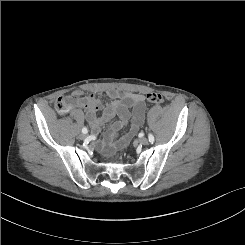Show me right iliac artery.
<instances>
[{"label":"right iliac artery","instance_id":"right-iliac-artery-1","mask_svg":"<svg viewBox=\"0 0 245 245\" xmlns=\"http://www.w3.org/2000/svg\"><path fill=\"white\" fill-rule=\"evenodd\" d=\"M82 133H83V134H87V133H88V129H87L86 127H84V128L82 129Z\"/></svg>","mask_w":245,"mask_h":245}]
</instances>
